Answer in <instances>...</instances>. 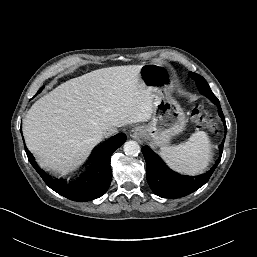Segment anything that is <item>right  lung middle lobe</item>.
Masks as SVG:
<instances>
[{
	"label": "right lung middle lobe",
	"instance_id": "dd1d6c3e",
	"mask_svg": "<svg viewBox=\"0 0 257 257\" xmlns=\"http://www.w3.org/2000/svg\"><path fill=\"white\" fill-rule=\"evenodd\" d=\"M43 89V87L39 90V92Z\"/></svg>",
	"mask_w": 257,
	"mask_h": 257
}]
</instances>
